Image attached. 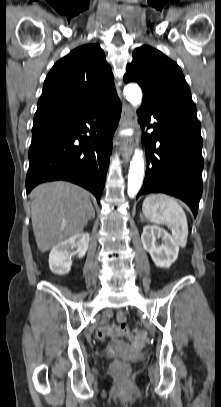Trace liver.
Masks as SVG:
<instances>
[{"label":"liver","instance_id":"liver-1","mask_svg":"<svg viewBox=\"0 0 221 407\" xmlns=\"http://www.w3.org/2000/svg\"><path fill=\"white\" fill-rule=\"evenodd\" d=\"M31 220L38 249L46 252L83 231L92 219L88 192L79 186L54 181L38 185L30 194Z\"/></svg>","mask_w":221,"mask_h":407}]
</instances>
